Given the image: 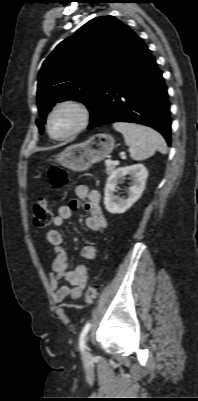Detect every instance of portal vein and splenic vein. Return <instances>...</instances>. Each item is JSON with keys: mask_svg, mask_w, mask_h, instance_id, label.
<instances>
[{"mask_svg": "<svg viewBox=\"0 0 198 401\" xmlns=\"http://www.w3.org/2000/svg\"><path fill=\"white\" fill-rule=\"evenodd\" d=\"M121 158H122V159H125V155L121 154ZM106 163H107V164H111V163L117 164L118 162H117V161L112 162L110 159H108V160H106Z\"/></svg>", "mask_w": 198, "mask_h": 401, "instance_id": "1", "label": "portal vein and splenic vein"}]
</instances>
